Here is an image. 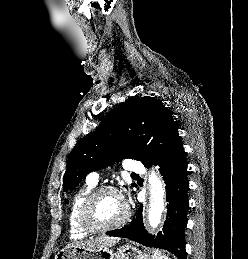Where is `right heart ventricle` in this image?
Returning a JSON list of instances; mask_svg holds the SVG:
<instances>
[{"mask_svg": "<svg viewBox=\"0 0 248 259\" xmlns=\"http://www.w3.org/2000/svg\"><path fill=\"white\" fill-rule=\"evenodd\" d=\"M94 187L95 184L87 181L72 196L68 213V226L70 234L74 238H83L89 234L81 227L78 219V213L83 200L94 189Z\"/></svg>", "mask_w": 248, "mask_h": 259, "instance_id": "obj_1", "label": "right heart ventricle"}]
</instances>
